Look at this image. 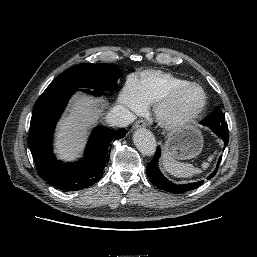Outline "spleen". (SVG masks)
I'll use <instances>...</instances> for the list:
<instances>
[{"mask_svg":"<svg viewBox=\"0 0 257 257\" xmlns=\"http://www.w3.org/2000/svg\"><path fill=\"white\" fill-rule=\"evenodd\" d=\"M213 158V155L209 156L208 161L210 162ZM162 162L165 171L176 177H191L202 172L200 168L194 167L190 163L176 161L169 151L164 152ZM209 162H203L202 168H208Z\"/></svg>","mask_w":257,"mask_h":257,"instance_id":"spleen-1","label":"spleen"}]
</instances>
